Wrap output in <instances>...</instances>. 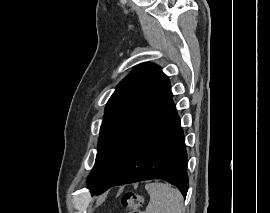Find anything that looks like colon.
I'll return each mask as SVG.
<instances>
[{
  "label": "colon",
  "instance_id": "5ec220e1",
  "mask_svg": "<svg viewBox=\"0 0 270 213\" xmlns=\"http://www.w3.org/2000/svg\"><path fill=\"white\" fill-rule=\"evenodd\" d=\"M121 202L125 208L138 209L141 206L143 199L140 195L132 191H127L123 195Z\"/></svg>",
  "mask_w": 270,
  "mask_h": 213
}]
</instances>
